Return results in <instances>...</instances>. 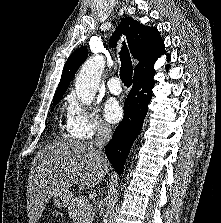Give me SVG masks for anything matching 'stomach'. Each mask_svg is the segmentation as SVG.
<instances>
[{
	"label": "stomach",
	"mask_w": 221,
	"mask_h": 223,
	"mask_svg": "<svg viewBox=\"0 0 221 223\" xmlns=\"http://www.w3.org/2000/svg\"><path fill=\"white\" fill-rule=\"evenodd\" d=\"M72 199L73 194L69 190L61 191L53 196L54 204L60 208H66L69 206Z\"/></svg>",
	"instance_id": "0dacf381"
}]
</instances>
